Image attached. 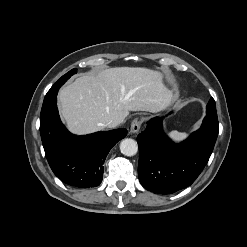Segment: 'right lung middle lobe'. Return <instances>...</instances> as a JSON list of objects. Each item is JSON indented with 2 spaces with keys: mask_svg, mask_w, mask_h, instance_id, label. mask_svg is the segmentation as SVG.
<instances>
[{
  "mask_svg": "<svg viewBox=\"0 0 247 247\" xmlns=\"http://www.w3.org/2000/svg\"><path fill=\"white\" fill-rule=\"evenodd\" d=\"M76 73V69H72L71 71H69L68 73H66L65 75H63L52 87L51 89L48 91V93L46 94L45 98H44V102L46 103L47 101L51 100L52 98H54L55 96H57V92L59 90V88L73 75Z\"/></svg>",
  "mask_w": 247,
  "mask_h": 247,
  "instance_id": "obj_1",
  "label": "right lung middle lobe"
}]
</instances>
